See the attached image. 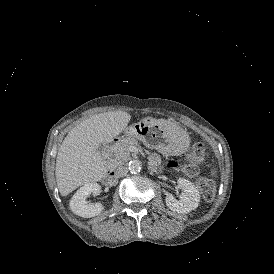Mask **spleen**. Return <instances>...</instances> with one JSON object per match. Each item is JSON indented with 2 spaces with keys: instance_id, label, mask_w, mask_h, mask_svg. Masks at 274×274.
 <instances>
[{
  "instance_id": "1",
  "label": "spleen",
  "mask_w": 274,
  "mask_h": 274,
  "mask_svg": "<svg viewBox=\"0 0 274 274\" xmlns=\"http://www.w3.org/2000/svg\"><path fill=\"white\" fill-rule=\"evenodd\" d=\"M211 174H212V175H214V174H215V172L212 170V171H211Z\"/></svg>"
}]
</instances>
